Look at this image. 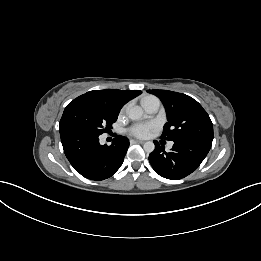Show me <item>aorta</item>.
Segmentation results:
<instances>
[{
  "instance_id": "1",
  "label": "aorta",
  "mask_w": 261,
  "mask_h": 261,
  "mask_svg": "<svg viewBox=\"0 0 261 261\" xmlns=\"http://www.w3.org/2000/svg\"><path fill=\"white\" fill-rule=\"evenodd\" d=\"M127 115L131 120H139L143 116V109L140 106L131 107L127 111ZM143 149L145 150V152L151 153L154 151L155 145L152 141H148L144 143Z\"/></svg>"
}]
</instances>
